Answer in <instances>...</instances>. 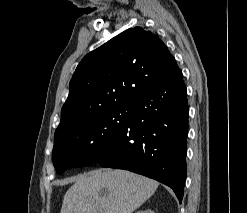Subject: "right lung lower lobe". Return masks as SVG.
<instances>
[{
  "mask_svg": "<svg viewBox=\"0 0 247 213\" xmlns=\"http://www.w3.org/2000/svg\"><path fill=\"white\" fill-rule=\"evenodd\" d=\"M132 111L96 163L129 170L173 189L180 203L186 180L187 90L180 69L139 92Z\"/></svg>",
  "mask_w": 247,
  "mask_h": 213,
  "instance_id": "obj_1",
  "label": "right lung lower lobe"
}]
</instances>
